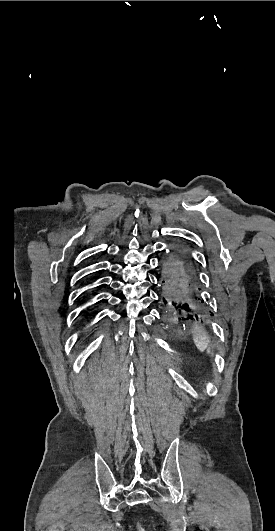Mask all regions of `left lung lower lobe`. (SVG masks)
Listing matches in <instances>:
<instances>
[{
    "label": "left lung lower lobe",
    "mask_w": 275,
    "mask_h": 531,
    "mask_svg": "<svg viewBox=\"0 0 275 531\" xmlns=\"http://www.w3.org/2000/svg\"><path fill=\"white\" fill-rule=\"evenodd\" d=\"M160 281L166 315L179 314L198 318V315L207 313L194 259L188 247L176 243L163 255Z\"/></svg>",
    "instance_id": "1"
}]
</instances>
